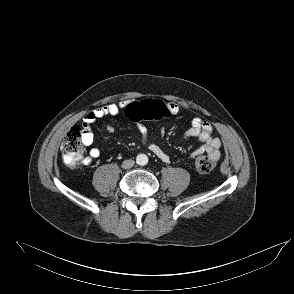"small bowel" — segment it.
<instances>
[{"mask_svg": "<svg viewBox=\"0 0 294 294\" xmlns=\"http://www.w3.org/2000/svg\"><path fill=\"white\" fill-rule=\"evenodd\" d=\"M128 102H121L119 104H108L86 114L83 118L82 130H83V141L86 146H90L93 143V133L91 131V125L97 120L106 116H116L125 109ZM167 107L170 111V115H176L179 112V106L173 102L167 103ZM141 140L147 145L148 149L161 161L165 163L171 162V157L156 143L149 141L148 130L144 125L138 126ZM109 132L114 131V126L111 124L107 125ZM213 128L211 124L201 118H193L190 127L184 132V137L190 138L195 137L198 146L195 150L190 153L191 158H195L201 154L206 153L209 156L214 157L216 160L220 157L221 140L217 137H213ZM100 156V151L97 148H91L88 156L83 159V164L88 165L93 159Z\"/></svg>", "mask_w": 294, "mask_h": 294, "instance_id": "c3829d8e", "label": "small bowel"}]
</instances>
